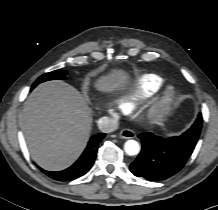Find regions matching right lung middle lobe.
<instances>
[{"mask_svg":"<svg viewBox=\"0 0 218 210\" xmlns=\"http://www.w3.org/2000/svg\"><path fill=\"white\" fill-rule=\"evenodd\" d=\"M67 74L66 71L63 70H55L49 73H46L42 76H40L36 82L33 84V88L36 87L39 83H42L44 81H48V80H55V79H65V75Z\"/></svg>","mask_w":218,"mask_h":210,"instance_id":"dd1d6c3e","label":"right lung middle lobe"}]
</instances>
